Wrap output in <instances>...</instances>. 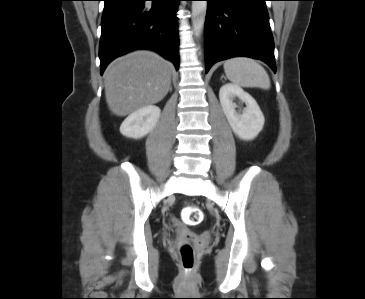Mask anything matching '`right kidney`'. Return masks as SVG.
Here are the masks:
<instances>
[{"label": "right kidney", "mask_w": 365, "mask_h": 299, "mask_svg": "<svg viewBox=\"0 0 365 299\" xmlns=\"http://www.w3.org/2000/svg\"><path fill=\"white\" fill-rule=\"evenodd\" d=\"M160 113V108L154 105L138 109L123 121L120 126L121 134L134 139L146 136L156 127Z\"/></svg>", "instance_id": "1"}]
</instances>
